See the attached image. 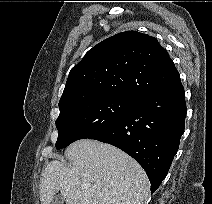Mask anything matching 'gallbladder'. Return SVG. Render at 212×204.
<instances>
[{"label": "gallbladder", "mask_w": 212, "mask_h": 204, "mask_svg": "<svg viewBox=\"0 0 212 204\" xmlns=\"http://www.w3.org/2000/svg\"><path fill=\"white\" fill-rule=\"evenodd\" d=\"M51 204H64V199L60 195H55Z\"/></svg>", "instance_id": "obj_1"}]
</instances>
